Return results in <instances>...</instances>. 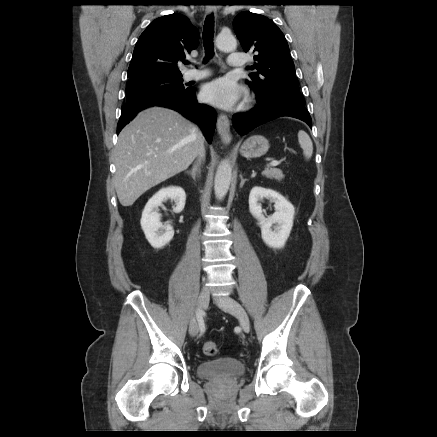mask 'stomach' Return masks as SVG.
Listing matches in <instances>:
<instances>
[{
  "instance_id": "stomach-1",
  "label": "stomach",
  "mask_w": 437,
  "mask_h": 437,
  "mask_svg": "<svg viewBox=\"0 0 437 437\" xmlns=\"http://www.w3.org/2000/svg\"><path fill=\"white\" fill-rule=\"evenodd\" d=\"M268 149V140L261 135H254L243 142L240 153L245 158H259L265 155Z\"/></svg>"
}]
</instances>
